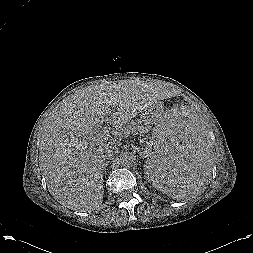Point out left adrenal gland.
<instances>
[{
  "label": "left adrenal gland",
  "mask_w": 253,
  "mask_h": 253,
  "mask_svg": "<svg viewBox=\"0 0 253 253\" xmlns=\"http://www.w3.org/2000/svg\"><path fill=\"white\" fill-rule=\"evenodd\" d=\"M137 152L139 153L140 156H143V149H137Z\"/></svg>",
  "instance_id": "1"
}]
</instances>
